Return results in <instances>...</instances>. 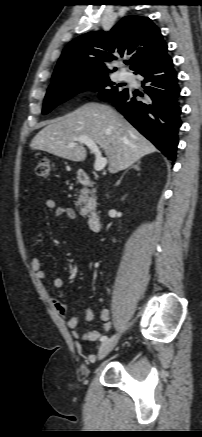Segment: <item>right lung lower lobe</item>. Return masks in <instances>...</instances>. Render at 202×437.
Masks as SVG:
<instances>
[{
	"mask_svg": "<svg viewBox=\"0 0 202 437\" xmlns=\"http://www.w3.org/2000/svg\"><path fill=\"white\" fill-rule=\"evenodd\" d=\"M135 74L143 77L144 93L124 89L107 101L170 161H175L182 122L180 87L172 58L167 55Z\"/></svg>",
	"mask_w": 202,
	"mask_h": 437,
	"instance_id": "obj_1",
	"label": "right lung lower lobe"
}]
</instances>
